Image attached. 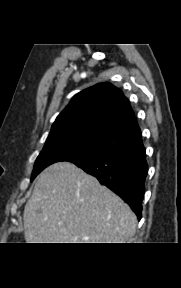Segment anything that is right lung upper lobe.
Returning a JSON list of instances; mask_svg holds the SVG:
<instances>
[{
  "mask_svg": "<svg viewBox=\"0 0 181 288\" xmlns=\"http://www.w3.org/2000/svg\"><path fill=\"white\" fill-rule=\"evenodd\" d=\"M81 138L115 152L142 145L128 99L110 83L76 94L56 118L47 141Z\"/></svg>",
  "mask_w": 181,
  "mask_h": 288,
  "instance_id": "obj_1",
  "label": "right lung upper lobe"
}]
</instances>
